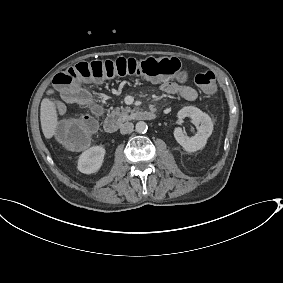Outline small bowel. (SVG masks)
I'll list each match as a JSON object with an SVG mask.
<instances>
[{
	"instance_id": "1",
	"label": "small bowel",
	"mask_w": 283,
	"mask_h": 283,
	"mask_svg": "<svg viewBox=\"0 0 283 283\" xmlns=\"http://www.w3.org/2000/svg\"><path fill=\"white\" fill-rule=\"evenodd\" d=\"M187 75L185 72H180L176 75L174 81H164L160 84V90L167 94H178L185 100L193 101L197 98V91L186 83ZM54 107L58 114L62 115L66 111V106L63 101L53 99Z\"/></svg>"
}]
</instances>
